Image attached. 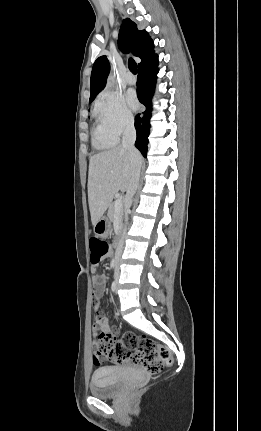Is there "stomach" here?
<instances>
[{
    "label": "stomach",
    "mask_w": 261,
    "mask_h": 431,
    "mask_svg": "<svg viewBox=\"0 0 261 431\" xmlns=\"http://www.w3.org/2000/svg\"><path fill=\"white\" fill-rule=\"evenodd\" d=\"M111 224L107 217H102L94 225V233L96 236L106 238L110 232Z\"/></svg>",
    "instance_id": "stomach-1"
}]
</instances>
